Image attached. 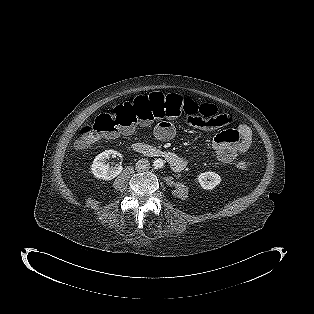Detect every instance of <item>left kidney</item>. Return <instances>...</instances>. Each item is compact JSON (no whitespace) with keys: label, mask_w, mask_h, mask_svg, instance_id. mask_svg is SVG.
Wrapping results in <instances>:
<instances>
[{"label":"left kidney","mask_w":314,"mask_h":314,"mask_svg":"<svg viewBox=\"0 0 314 314\" xmlns=\"http://www.w3.org/2000/svg\"><path fill=\"white\" fill-rule=\"evenodd\" d=\"M200 186L205 190H212L221 182V177L215 172L200 173L197 177Z\"/></svg>","instance_id":"5707ae66"}]
</instances>
